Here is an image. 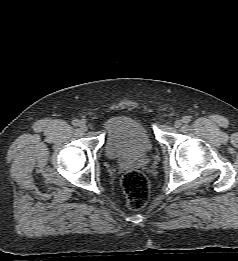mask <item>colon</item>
Instances as JSON below:
<instances>
[{
  "mask_svg": "<svg viewBox=\"0 0 238 261\" xmlns=\"http://www.w3.org/2000/svg\"><path fill=\"white\" fill-rule=\"evenodd\" d=\"M122 187L131 209L142 208L149 198V185L145 175L138 170L127 171L122 177Z\"/></svg>",
  "mask_w": 238,
  "mask_h": 261,
  "instance_id": "colon-1",
  "label": "colon"
}]
</instances>
